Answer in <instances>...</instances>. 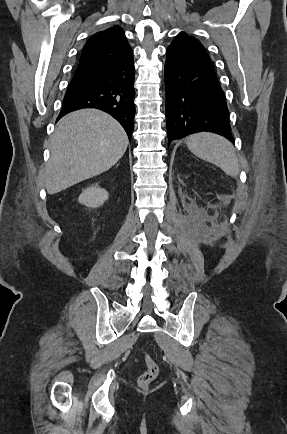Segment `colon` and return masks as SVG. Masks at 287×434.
Here are the masks:
<instances>
[{
    "instance_id": "5ec220e1",
    "label": "colon",
    "mask_w": 287,
    "mask_h": 434,
    "mask_svg": "<svg viewBox=\"0 0 287 434\" xmlns=\"http://www.w3.org/2000/svg\"><path fill=\"white\" fill-rule=\"evenodd\" d=\"M146 371L138 378V385L141 388H147L158 376L159 367L155 360L150 356H145Z\"/></svg>"
}]
</instances>
